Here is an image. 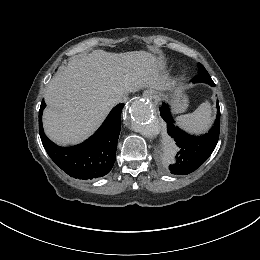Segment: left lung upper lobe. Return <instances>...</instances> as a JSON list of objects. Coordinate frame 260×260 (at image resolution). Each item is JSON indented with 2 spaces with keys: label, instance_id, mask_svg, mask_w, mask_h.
Listing matches in <instances>:
<instances>
[{
  "label": "left lung upper lobe",
  "instance_id": "1",
  "mask_svg": "<svg viewBox=\"0 0 260 260\" xmlns=\"http://www.w3.org/2000/svg\"><path fill=\"white\" fill-rule=\"evenodd\" d=\"M207 83L211 86L215 85L214 82L212 81L209 73L206 71L204 66L202 64L199 65V74L198 76L194 79V83Z\"/></svg>",
  "mask_w": 260,
  "mask_h": 260
}]
</instances>
